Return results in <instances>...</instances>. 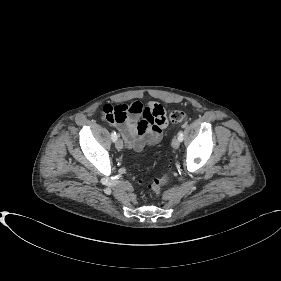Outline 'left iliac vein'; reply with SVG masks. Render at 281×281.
Masks as SVG:
<instances>
[{
	"mask_svg": "<svg viewBox=\"0 0 281 281\" xmlns=\"http://www.w3.org/2000/svg\"><path fill=\"white\" fill-rule=\"evenodd\" d=\"M180 146V139L175 137L173 140H172V147L174 149H178Z\"/></svg>",
	"mask_w": 281,
	"mask_h": 281,
	"instance_id": "4c4485c4",
	"label": "left iliac vein"
}]
</instances>
